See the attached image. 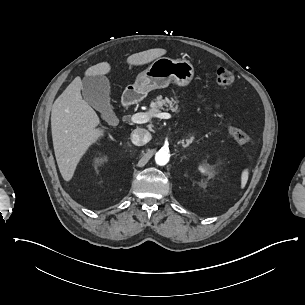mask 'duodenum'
Listing matches in <instances>:
<instances>
[{
    "mask_svg": "<svg viewBox=\"0 0 305 305\" xmlns=\"http://www.w3.org/2000/svg\"><path fill=\"white\" fill-rule=\"evenodd\" d=\"M138 98L137 94L133 93V94H125L123 96V106L125 108H127L131 102H133L134 100H136Z\"/></svg>",
    "mask_w": 305,
    "mask_h": 305,
    "instance_id": "obj_1",
    "label": "duodenum"
}]
</instances>
